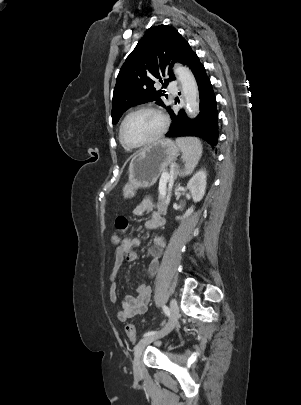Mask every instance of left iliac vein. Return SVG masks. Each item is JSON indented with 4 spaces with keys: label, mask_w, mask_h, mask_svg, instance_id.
<instances>
[{
    "label": "left iliac vein",
    "mask_w": 301,
    "mask_h": 405,
    "mask_svg": "<svg viewBox=\"0 0 301 405\" xmlns=\"http://www.w3.org/2000/svg\"><path fill=\"white\" fill-rule=\"evenodd\" d=\"M170 318L168 323L159 331L141 339L134 349L133 370L136 376L141 375L140 358L144 348L153 341L160 339L169 334L177 324L179 318V307L175 299L170 301Z\"/></svg>",
    "instance_id": "1"
}]
</instances>
